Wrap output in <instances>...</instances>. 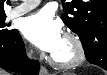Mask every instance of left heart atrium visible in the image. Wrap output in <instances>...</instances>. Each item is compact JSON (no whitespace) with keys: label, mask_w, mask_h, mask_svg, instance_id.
Wrapping results in <instances>:
<instances>
[{"label":"left heart atrium","mask_w":107,"mask_h":75,"mask_svg":"<svg viewBox=\"0 0 107 75\" xmlns=\"http://www.w3.org/2000/svg\"><path fill=\"white\" fill-rule=\"evenodd\" d=\"M23 32L33 44L51 54L57 51L64 38L60 22L46 10L26 18Z\"/></svg>","instance_id":"39dd6f15"}]
</instances>
